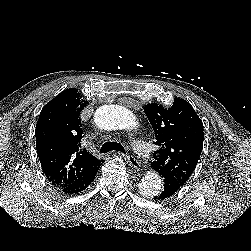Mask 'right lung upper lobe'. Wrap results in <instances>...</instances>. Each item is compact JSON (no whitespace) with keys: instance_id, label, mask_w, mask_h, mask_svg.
Returning a JSON list of instances; mask_svg holds the SVG:
<instances>
[{"instance_id":"cb5924a9","label":"right lung upper lobe","mask_w":251,"mask_h":251,"mask_svg":"<svg viewBox=\"0 0 251 251\" xmlns=\"http://www.w3.org/2000/svg\"><path fill=\"white\" fill-rule=\"evenodd\" d=\"M87 104L76 88H69L48 102L39 115L37 153L43 172L54 186L81 182L103 163L81 147L80 114Z\"/></svg>"}]
</instances>
